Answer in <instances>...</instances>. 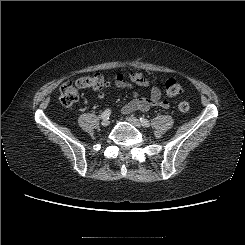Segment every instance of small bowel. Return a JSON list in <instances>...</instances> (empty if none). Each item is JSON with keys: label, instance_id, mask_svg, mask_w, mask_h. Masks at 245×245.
Segmentation results:
<instances>
[{"label": "small bowel", "instance_id": "obj_1", "mask_svg": "<svg viewBox=\"0 0 245 245\" xmlns=\"http://www.w3.org/2000/svg\"><path fill=\"white\" fill-rule=\"evenodd\" d=\"M115 84L117 87L127 89L131 92L133 98L122 108V113L127 115L136 111L147 112L152 106H158L168 109L169 101L163 96L158 87H153L149 93H142L135 89L136 86H148L150 80L141 72L129 71L126 75L118 74L115 76ZM99 98L106 97V91L100 90Z\"/></svg>", "mask_w": 245, "mask_h": 245}]
</instances>
